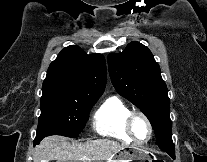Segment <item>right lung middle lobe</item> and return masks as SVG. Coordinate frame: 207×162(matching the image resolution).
Instances as JSON below:
<instances>
[{"label": "right lung middle lobe", "instance_id": "1", "mask_svg": "<svg viewBox=\"0 0 207 162\" xmlns=\"http://www.w3.org/2000/svg\"><path fill=\"white\" fill-rule=\"evenodd\" d=\"M41 115L36 139L48 135L76 138L89 117V112L100 96H82L60 91L42 90Z\"/></svg>", "mask_w": 207, "mask_h": 162}]
</instances>
